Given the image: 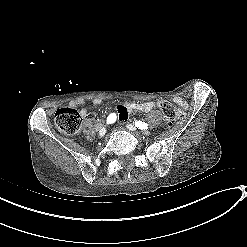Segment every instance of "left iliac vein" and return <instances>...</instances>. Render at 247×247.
Listing matches in <instances>:
<instances>
[{"mask_svg": "<svg viewBox=\"0 0 247 247\" xmlns=\"http://www.w3.org/2000/svg\"><path fill=\"white\" fill-rule=\"evenodd\" d=\"M126 127H127L130 131L136 132V127H135L134 125H132V124H127ZM148 133H149V132L146 131V134H148Z\"/></svg>", "mask_w": 247, "mask_h": 247, "instance_id": "1", "label": "left iliac vein"}]
</instances>
